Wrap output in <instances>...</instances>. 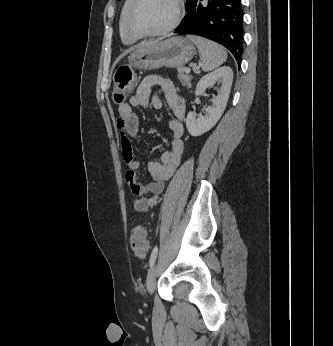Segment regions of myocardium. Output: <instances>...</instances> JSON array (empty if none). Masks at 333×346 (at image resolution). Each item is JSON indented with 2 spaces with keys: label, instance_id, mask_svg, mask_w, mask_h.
Wrapping results in <instances>:
<instances>
[{
  "label": "myocardium",
  "instance_id": "1",
  "mask_svg": "<svg viewBox=\"0 0 333 346\" xmlns=\"http://www.w3.org/2000/svg\"><path fill=\"white\" fill-rule=\"evenodd\" d=\"M141 0H132V3L128 9L126 19H125V27L129 34L135 36V37H156L165 35L172 30H174L180 23L183 14H184V3L183 0H174L175 4V15L172 20V22L165 28L157 31H142L140 29H137L133 24V16L135 13L136 8L138 7Z\"/></svg>",
  "mask_w": 333,
  "mask_h": 346
}]
</instances>
